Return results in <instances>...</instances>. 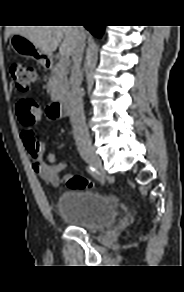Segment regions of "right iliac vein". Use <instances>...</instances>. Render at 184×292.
Wrapping results in <instances>:
<instances>
[{"label": "right iliac vein", "mask_w": 184, "mask_h": 292, "mask_svg": "<svg viewBox=\"0 0 184 292\" xmlns=\"http://www.w3.org/2000/svg\"><path fill=\"white\" fill-rule=\"evenodd\" d=\"M82 157L99 172L103 173L102 162L96 154H83Z\"/></svg>", "instance_id": "63e3f726"}]
</instances>
